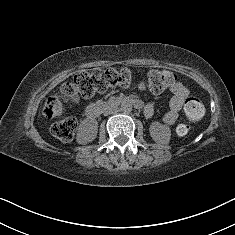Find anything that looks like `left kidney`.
Here are the masks:
<instances>
[{"label":"left kidney","instance_id":"obj_1","mask_svg":"<svg viewBox=\"0 0 235 235\" xmlns=\"http://www.w3.org/2000/svg\"><path fill=\"white\" fill-rule=\"evenodd\" d=\"M150 135L151 137L158 142L168 143L171 137V130L168 126L163 125L159 122H152L150 125Z\"/></svg>","mask_w":235,"mask_h":235}]
</instances>
